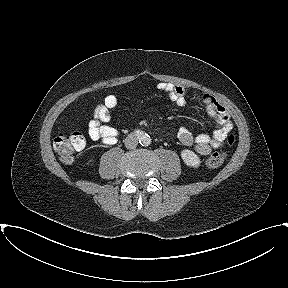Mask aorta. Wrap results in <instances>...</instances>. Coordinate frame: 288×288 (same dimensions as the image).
I'll list each match as a JSON object with an SVG mask.
<instances>
[{
    "instance_id": "obj_1",
    "label": "aorta",
    "mask_w": 288,
    "mask_h": 288,
    "mask_svg": "<svg viewBox=\"0 0 288 288\" xmlns=\"http://www.w3.org/2000/svg\"><path fill=\"white\" fill-rule=\"evenodd\" d=\"M139 142H140V144L143 145V146H148V145L151 144V138H150L149 135L144 134V135H142V136L140 137Z\"/></svg>"
}]
</instances>
